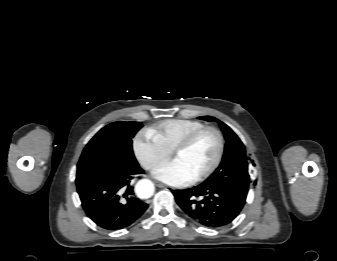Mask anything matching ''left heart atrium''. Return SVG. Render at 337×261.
<instances>
[{
    "label": "left heart atrium",
    "instance_id": "1",
    "mask_svg": "<svg viewBox=\"0 0 337 261\" xmlns=\"http://www.w3.org/2000/svg\"><path fill=\"white\" fill-rule=\"evenodd\" d=\"M154 176L172 186H186L193 181L191 174L176 160H172L158 167Z\"/></svg>",
    "mask_w": 337,
    "mask_h": 261
}]
</instances>
